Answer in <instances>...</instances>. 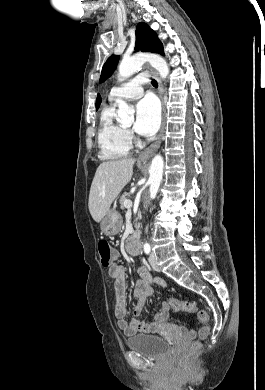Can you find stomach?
<instances>
[{
	"label": "stomach",
	"instance_id": "1",
	"mask_svg": "<svg viewBox=\"0 0 265 390\" xmlns=\"http://www.w3.org/2000/svg\"><path fill=\"white\" fill-rule=\"evenodd\" d=\"M122 226L120 214L116 210H109L102 218L100 227L102 233L107 236H113L119 233Z\"/></svg>",
	"mask_w": 265,
	"mask_h": 390
}]
</instances>
